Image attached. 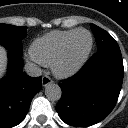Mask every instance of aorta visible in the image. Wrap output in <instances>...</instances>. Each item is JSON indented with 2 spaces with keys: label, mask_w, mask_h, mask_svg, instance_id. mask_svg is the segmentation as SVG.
Wrapping results in <instances>:
<instances>
[{
  "label": "aorta",
  "mask_w": 128,
  "mask_h": 128,
  "mask_svg": "<svg viewBox=\"0 0 128 128\" xmlns=\"http://www.w3.org/2000/svg\"><path fill=\"white\" fill-rule=\"evenodd\" d=\"M45 95L51 101H58L61 99L62 91L59 85L55 83H48L45 87Z\"/></svg>",
  "instance_id": "762f6f07"
}]
</instances>
